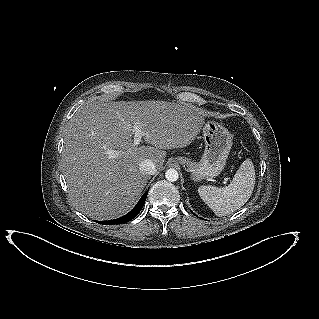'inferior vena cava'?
I'll return each mask as SVG.
<instances>
[{
    "label": "inferior vena cava",
    "mask_w": 319,
    "mask_h": 319,
    "mask_svg": "<svg viewBox=\"0 0 319 319\" xmlns=\"http://www.w3.org/2000/svg\"><path fill=\"white\" fill-rule=\"evenodd\" d=\"M139 169L144 175H153L156 173V165L150 159H144L139 164Z\"/></svg>",
    "instance_id": "1"
}]
</instances>
